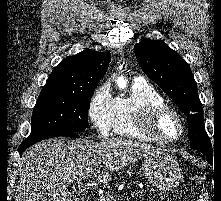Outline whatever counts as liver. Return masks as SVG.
Returning <instances> with one entry per match:
<instances>
[{
	"label": "liver",
	"mask_w": 221,
	"mask_h": 201,
	"mask_svg": "<svg viewBox=\"0 0 221 201\" xmlns=\"http://www.w3.org/2000/svg\"><path fill=\"white\" fill-rule=\"evenodd\" d=\"M159 148L126 139H50L23 152L15 201H71L66 191L73 181L97 176L100 183L117 171ZM102 165L105 169L101 170Z\"/></svg>",
	"instance_id": "6515ba94"
}]
</instances>
